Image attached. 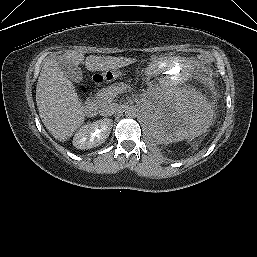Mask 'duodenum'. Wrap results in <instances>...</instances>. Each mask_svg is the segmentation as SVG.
I'll return each instance as SVG.
<instances>
[{"mask_svg":"<svg viewBox=\"0 0 257 257\" xmlns=\"http://www.w3.org/2000/svg\"><path fill=\"white\" fill-rule=\"evenodd\" d=\"M96 111H97V106L95 101L91 97H88L84 104L85 114H87L88 116H93L96 114Z\"/></svg>","mask_w":257,"mask_h":257,"instance_id":"obj_1","label":"duodenum"}]
</instances>
